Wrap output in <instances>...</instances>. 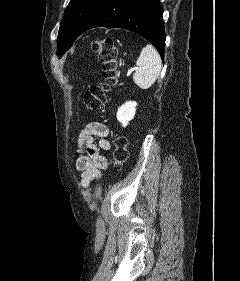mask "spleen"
<instances>
[{"mask_svg": "<svg viewBox=\"0 0 240 281\" xmlns=\"http://www.w3.org/2000/svg\"><path fill=\"white\" fill-rule=\"evenodd\" d=\"M137 70L133 81L141 89L150 88L159 77L162 61L160 55L152 45L144 47L136 61Z\"/></svg>", "mask_w": 240, "mask_h": 281, "instance_id": "obj_1", "label": "spleen"}]
</instances>
